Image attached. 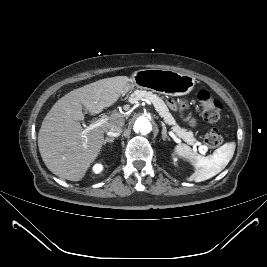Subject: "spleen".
<instances>
[{"instance_id":"obj_1","label":"spleen","mask_w":267,"mask_h":267,"mask_svg":"<svg viewBox=\"0 0 267 267\" xmlns=\"http://www.w3.org/2000/svg\"><path fill=\"white\" fill-rule=\"evenodd\" d=\"M235 142H228L207 157L196 154L188 145L178 144L174 148L176 154L189 161L195 172L189 181L202 182L219 174L230 162L235 152Z\"/></svg>"}]
</instances>
